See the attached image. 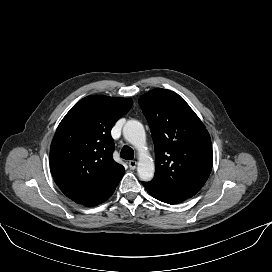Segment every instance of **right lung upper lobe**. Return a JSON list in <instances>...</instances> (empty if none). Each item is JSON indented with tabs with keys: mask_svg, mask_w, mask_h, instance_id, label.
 I'll return each mask as SVG.
<instances>
[{
	"mask_svg": "<svg viewBox=\"0 0 272 272\" xmlns=\"http://www.w3.org/2000/svg\"><path fill=\"white\" fill-rule=\"evenodd\" d=\"M131 105L127 98L88 96L60 122L50 147V170L74 202H87L124 173L112 158L115 146L110 132Z\"/></svg>",
	"mask_w": 272,
	"mask_h": 272,
	"instance_id": "right-lung-upper-lobe-1",
	"label": "right lung upper lobe"
}]
</instances>
